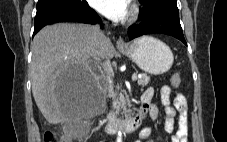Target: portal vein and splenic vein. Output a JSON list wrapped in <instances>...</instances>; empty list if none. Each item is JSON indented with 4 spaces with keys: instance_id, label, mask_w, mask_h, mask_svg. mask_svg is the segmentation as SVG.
I'll return each instance as SVG.
<instances>
[{
    "instance_id": "portal-vein-and-splenic-vein-1",
    "label": "portal vein and splenic vein",
    "mask_w": 227,
    "mask_h": 142,
    "mask_svg": "<svg viewBox=\"0 0 227 142\" xmlns=\"http://www.w3.org/2000/svg\"><path fill=\"white\" fill-rule=\"evenodd\" d=\"M137 78H138V76H137L136 74H133V75H132V81H136Z\"/></svg>"
}]
</instances>
